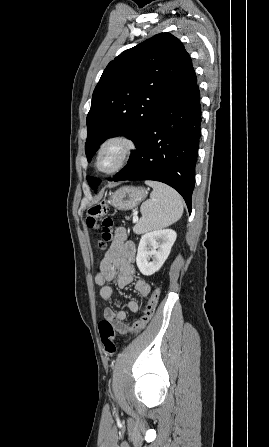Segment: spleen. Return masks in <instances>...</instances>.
<instances>
[{
  "instance_id": "3e777b00",
  "label": "spleen",
  "mask_w": 269,
  "mask_h": 447,
  "mask_svg": "<svg viewBox=\"0 0 269 447\" xmlns=\"http://www.w3.org/2000/svg\"><path fill=\"white\" fill-rule=\"evenodd\" d=\"M153 188L151 200L144 202L140 208L141 220L133 227L135 233H146L152 229H161L175 224L183 214V202L178 192L161 182H145Z\"/></svg>"
}]
</instances>
